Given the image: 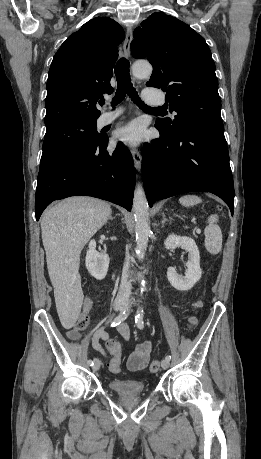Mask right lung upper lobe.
I'll list each match as a JSON object with an SVG mask.
<instances>
[{"label":"right lung upper lobe","mask_w":261,"mask_h":459,"mask_svg":"<svg viewBox=\"0 0 261 459\" xmlns=\"http://www.w3.org/2000/svg\"><path fill=\"white\" fill-rule=\"evenodd\" d=\"M120 25L110 18H94L61 45L47 80L46 127L66 120H96V103L113 91L110 79L124 39Z\"/></svg>","instance_id":"obj_1"}]
</instances>
